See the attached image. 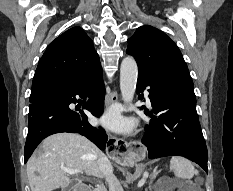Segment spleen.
Instances as JSON below:
<instances>
[{
    "label": "spleen",
    "mask_w": 233,
    "mask_h": 191,
    "mask_svg": "<svg viewBox=\"0 0 233 191\" xmlns=\"http://www.w3.org/2000/svg\"><path fill=\"white\" fill-rule=\"evenodd\" d=\"M170 170L174 172L177 178L187 180H190L194 174L198 173L189 160L180 156H174L171 158Z\"/></svg>",
    "instance_id": "1"
}]
</instances>
